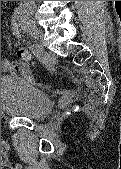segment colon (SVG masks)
Instances as JSON below:
<instances>
[{
	"instance_id": "colon-1",
	"label": "colon",
	"mask_w": 121,
	"mask_h": 169,
	"mask_svg": "<svg viewBox=\"0 0 121 169\" xmlns=\"http://www.w3.org/2000/svg\"><path fill=\"white\" fill-rule=\"evenodd\" d=\"M19 56H21L24 59L28 58V54L25 50H19Z\"/></svg>"
}]
</instances>
